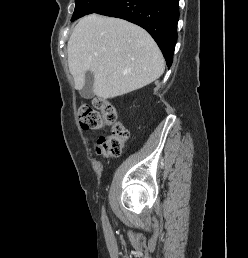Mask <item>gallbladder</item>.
Segmentation results:
<instances>
[{
  "label": "gallbladder",
  "instance_id": "obj_1",
  "mask_svg": "<svg viewBox=\"0 0 248 258\" xmlns=\"http://www.w3.org/2000/svg\"><path fill=\"white\" fill-rule=\"evenodd\" d=\"M93 83H94V74L90 71L85 73V83L81 89V95L84 98H91L93 96Z\"/></svg>",
  "mask_w": 248,
  "mask_h": 258
}]
</instances>
